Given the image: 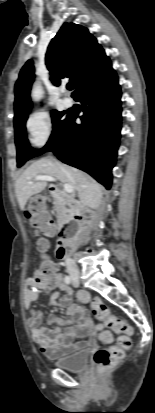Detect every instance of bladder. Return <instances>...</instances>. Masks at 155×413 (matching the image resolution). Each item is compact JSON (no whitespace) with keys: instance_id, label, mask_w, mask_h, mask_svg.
<instances>
[{"instance_id":"1","label":"bladder","mask_w":155,"mask_h":413,"mask_svg":"<svg viewBox=\"0 0 155 413\" xmlns=\"http://www.w3.org/2000/svg\"><path fill=\"white\" fill-rule=\"evenodd\" d=\"M89 360V351L83 350L75 354L58 358L54 365L60 369L70 372H83L86 370Z\"/></svg>"}]
</instances>
